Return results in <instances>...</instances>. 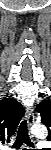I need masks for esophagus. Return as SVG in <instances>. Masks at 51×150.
<instances>
[{"instance_id":"1","label":"esophagus","mask_w":51,"mask_h":150,"mask_svg":"<svg viewBox=\"0 0 51 150\" xmlns=\"http://www.w3.org/2000/svg\"><path fill=\"white\" fill-rule=\"evenodd\" d=\"M26 118H27V122H28L29 127H31L34 123V112L31 108H27Z\"/></svg>"}]
</instances>
